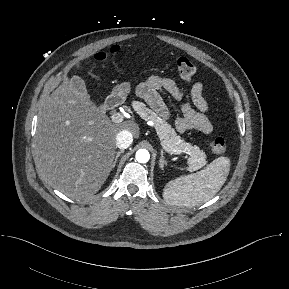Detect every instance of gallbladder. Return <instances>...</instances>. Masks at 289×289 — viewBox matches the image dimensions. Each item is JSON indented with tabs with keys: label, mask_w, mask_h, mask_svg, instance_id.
Segmentation results:
<instances>
[{
	"label": "gallbladder",
	"mask_w": 289,
	"mask_h": 289,
	"mask_svg": "<svg viewBox=\"0 0 289 289\" xmlns=\"http://www.w3.org/2000/svg\"><path fill=\"white\" fill-rule=\"evenodd\" d=\"M71 82L73 83V85L75 86V88L78 89L79 91L87 92L86 86H85V82H84V80H82L80 77H78V76H73V77L71 78Z\"/></svg>",
	"instance_id": "bac80fb5"
}]
</instances>
